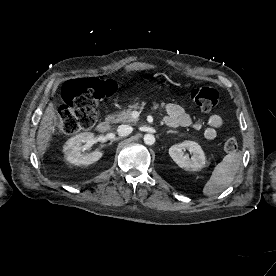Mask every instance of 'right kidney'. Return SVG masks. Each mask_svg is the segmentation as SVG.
<instances>
[{
    "instance_id": "ca27d5eb",
    "label": "right kidney",
    "mask_w": 276,
    "mask_h": 276,
    "mask_svg": "<svg viewBox=\"0 0 276 276\" xmlns=\"http://www.w3.org/2000/svg\"><path fill=\"white\" fill-rule=\"evenodd\" d=\"M94 134L91 132H84L77 134L65 143L63 147V152L65 154V159L74 165L88 166L97 162L103 153L99 150H95L92 153H83L84 144H89L93 140Z\"/></svg>"
}]
</instances>
